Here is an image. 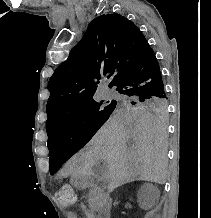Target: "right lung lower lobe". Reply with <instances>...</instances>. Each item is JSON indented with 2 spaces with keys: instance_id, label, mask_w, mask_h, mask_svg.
<instances>
[{
  "instance_id": "1",
  "label": "right lung lower lobe",
  "mask_w": 211,
  "mask_h": 218,
  "mask_svg": "<svg viewBox=\"0 0 211 218\" xmlns=\"http://www.w3.org/2000/svg\"><path fill=\"white\" fill-rule=\"evenodd\" d=\"M112 86H116L119 93L128 97L166 98L159 64L153 50L134 62Z\"/></svg>"
}]
</instances>
